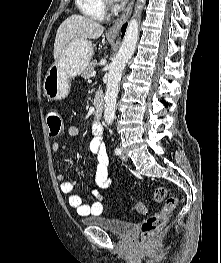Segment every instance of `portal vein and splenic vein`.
<instances>
[{
    "label": "portal vein and splenic vein",
    "instance_id": "obj_1",
    "mask_svg": "<svg viewBox=\"0 0 221 263\" xmlns=\"http://www.w3.org/2000/svg\"><path fill=\"white\" fill-rule=\"evenodd\" d=\"M95 76H96V72H92L91 77H95Z\"/></svg>",
    "mask_w": 221,
    "mask_h": 263
}]
</instances>
